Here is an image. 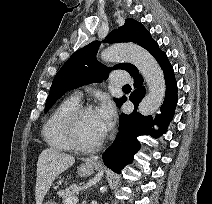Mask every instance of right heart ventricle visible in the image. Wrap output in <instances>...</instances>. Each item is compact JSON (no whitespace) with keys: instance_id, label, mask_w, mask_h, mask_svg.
I'll return each mask as SVG.
<instances>
[{"instance_id":"right-heart-ventricle-1","label":"right heart ventricle","mask_w":212,"mask_h":204,"mask_svg":"<svg viewBox=\"0 0 212 204\" xmlns=\"http://www.w3.org/2000/svg\"><path fill=\"white\" fill-rule=\"evenodd\" d=\"M79 105L78 99L69 97L61 101L49 115L43 126L42 135L51 149L64 152L72 150L63 134L62 122L65 116Z\"/></svg>"}]
</instances>
